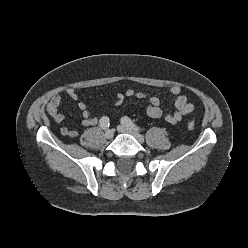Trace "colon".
I'll return each mask as SVG.
<instances>
[{"label": "colon", "mask_w": 248, "mask_h": 248, "mask_svg": "<svg viewBox=\"0 0 248 248\" xmlns=\"http://www.w3.org/2000/svg\"><path fill=\"white\" fill-rule=\"evenodd\" d=\"M187 128H188L189 130H193V129L195 128V123H194L193 121H189V122L187 123Z\"/></svg>", "instance_id": "colon-1"}]
</instances>
